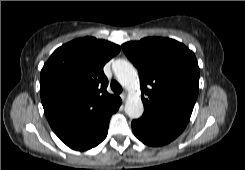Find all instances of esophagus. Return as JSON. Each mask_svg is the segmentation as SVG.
Here are the masks:
<instances>
[{
	"mask_svg": "<svg viewBox=\"0 0 245 170\" xmlns=\"http://www.w3.org/2000/svg\"><path fill=\"white\" fill-rule=\"evenodd\" d=\"M120 96H121L122 100L124 101L126 99L127 93L123 92Z\"/></svg>",
	"mask_w": 245,
	"mask_h": 170,
	"instance_id": "obj_1",
	"label": "esophagus"
}]
</instances>
